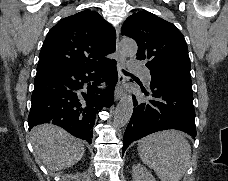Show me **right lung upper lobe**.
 Segmentation results:
<instances>
[{"label":"right lung upper lobe","instance_id":"obj_1","mask_svg":"<svg viewBox=\"0 0 228 181\" xmlns=\"http://www.w3.org/2000/svg\"><path fill=\"white\" fill-rule=\"evenodd\" d=\"M115 42V30L97 12L66 17L47 34L36 76L103 60L115 51Z\"/></svg>","mask_w":228,"mask_h":181}]
</instances>
